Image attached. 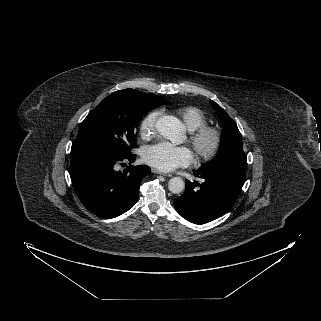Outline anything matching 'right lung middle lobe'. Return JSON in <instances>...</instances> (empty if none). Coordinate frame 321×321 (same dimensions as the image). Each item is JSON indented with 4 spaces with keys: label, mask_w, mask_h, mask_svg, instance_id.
Masks as SVG:
<instances>
[{
    "label": "right lung middle lobe",
    "mask_w": 321,
    "mask_h": 321,
    "mask_svg": "<svg viewBox=\"0 0 321 321\" xmlns=\"http://www.w3.org/2000/svg\"><path fill=\"white\" fill-rule=\"evenodd\" d=\"M166 102L160 96L134 89L112 93L83 120L71 154L93 152L112 158L132 154L141 117Z\"/></svg>",
    "instance_id": "obj_1"
}]
</instances>
